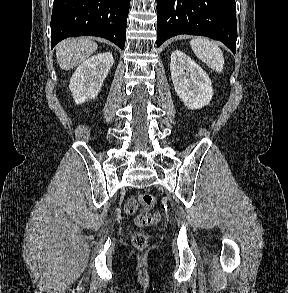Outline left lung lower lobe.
I'll use <instances>...</instances> for the list:
<instances>
[{"mask_svg": "<svg viewBox=\"0 0 288 293\" xmlns=\"http://www.w3.org/2000/svg\"><path fill=\"white\" fill-rule=\"evenodd\" d=\"M180 34L219 40L235 53V0H157V46Z\"/></svg>", "mask_w": 288, "mask_h": 293, "instance_id": "left-lung-lower-lobe-1", "label": "left lung lower lobe"}]
</instances>
